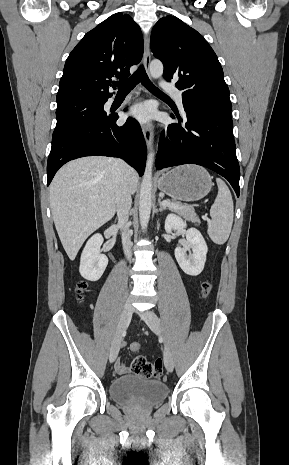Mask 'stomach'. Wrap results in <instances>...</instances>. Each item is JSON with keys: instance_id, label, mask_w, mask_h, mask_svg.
<instances>
[{"instance_id": "1", "label": "stomach", "mask_w": 289, "mask_h": 465, "mask_svg": "<svg viewBox=\"0 0 289 465\" xmlns=\"http://www.w3.org/2000/svg\"><path fill=\"white\" fill-rule=\"evenodd\" d=\"M159 189L176 200L197 201L205 197L213 185L206 169L198 165H181L163 173L157 180Z\"/></svg>"}]
</instances>
